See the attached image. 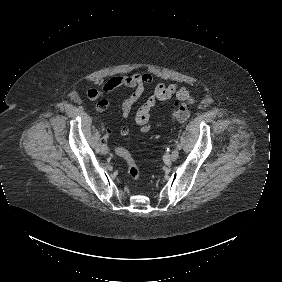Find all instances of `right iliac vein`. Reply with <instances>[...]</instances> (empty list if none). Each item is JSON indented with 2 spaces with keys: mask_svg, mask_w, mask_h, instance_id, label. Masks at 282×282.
Returning a JSON list of instances; mask_svg holds the SVG:
<instances>
[{
  "mask_svg": "<svg viewBox=\"0 0 282 282\" xmlns=\"http://www.w3.org/2000/svg\"><path fill=\"white\" fill-rule=\"evenodd\" d=\"M101 153L102 154H107L108 153V147L106 145H102L101 147Z\"/></svg>",
  "mask_w": 282,
  "mask_h": 282,
  "instance_id": "right-iliac-vein-1",
  "label": "right iliac vein"
}]
</instances>
